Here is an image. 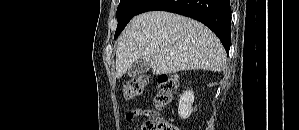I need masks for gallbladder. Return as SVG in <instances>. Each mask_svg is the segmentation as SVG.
<instances>
[{
    "mask_svg": "<svg viewBox=\"0 0 299 130\" xmlns=\"http://www.w3.org/2000/svg\"><path fill=\"white\" fill-rule=\"evenodd\" d=\"M150 68L151 65L147 61L137 60L128 68V75L129 77H136L148 72Z\"/></svg>",
    "mask_w": 299,
    "mask_h": 130,
    "instance_id": "obj_1",
    "label": "gallbladder"
}]
</instances>
